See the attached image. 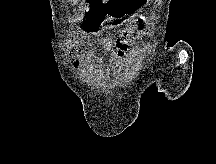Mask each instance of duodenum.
Returning <instances> with one entry per match:
<instances>
[{
	"label": "duodenum",
	"instance_id": "duodenum-1",
	"mask_svg": "<svg viewBox=\"0 0 216 164\" xmlns=\"http://www.w3.org/2000/svg\"><path fill=\"white\" fill-rule=\"evenodd\" d=\"M87 4H89L90 9H101V7H106V0H87Z\"/></svg>",
	"mask_w": 216,
	"mask_h": 164
}]
</instances>
